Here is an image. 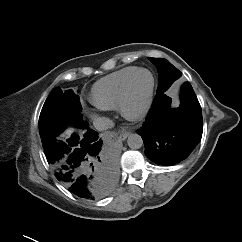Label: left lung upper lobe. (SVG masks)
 Here are the masks:
<instances>
[{
	"label": "left lung upper lobe",
	"mask_w": 242,
	"mask_h": 242,
	"mask_svg": "<svg viewBox=\"0 0 242 242\" xmlns=\"http://www.w3.org/2000/svg\"><path fill=\"white\" fill-rule=\"evenodd\" d=\"M149 60L156 66L159 74L157 94L165 93L171 84L182 74L176 67L164 58H149Z\"/></svg>",
	"instance_id": "obj_1"
}]
</instances>
